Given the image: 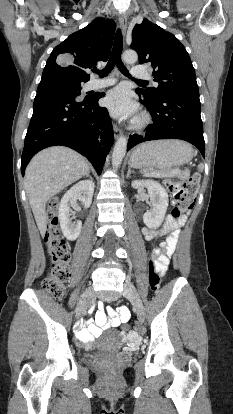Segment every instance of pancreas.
Listing matches in <instances>:
<instances>
[{"label": "pancreas", "mask_w": 233, "mask_h": 414, "mask_svg": "<svg viewBox=\"0 0 233 414\" xmlns=\"http://www.w3.org/2000/svg\"><path fill=\"white\" fill-rule=\"evenodd\" d=\"M144 174L149 173L146 176H150V177H176V178H188L190 173L189 171L186 172H180V171H152V170H143L142 171Z\"/></svg>", "instance_id": "pancreas-1"}]
</instances>
